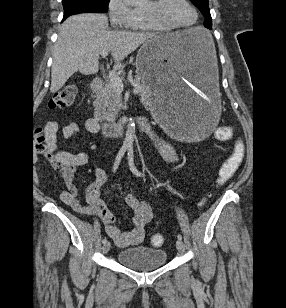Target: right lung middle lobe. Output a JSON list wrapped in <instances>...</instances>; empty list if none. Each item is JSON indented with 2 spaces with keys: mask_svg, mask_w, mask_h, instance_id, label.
<instances>
[{
  "mask_svg": "<svg viewBox=\"0 0 286 308\" xmlns=\"http://www.w3.org/2000/svg\"><path fill=\"white\" fill-rule=\"evenodd\" d=\"M110 0H62L64 18L85 12H107Z\"/></svg>",
  "mask_w": 286,
  "mask_h": 308,
  "instance_id": "obj_1",
  "label": "right lung middle lobe"
}]
</instances>
